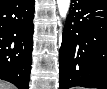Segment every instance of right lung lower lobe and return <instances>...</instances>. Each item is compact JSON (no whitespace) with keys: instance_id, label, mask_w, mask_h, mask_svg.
I'll return each mask as SVG.
<instances>
[{"instance_id":"right-lung-lower-lobe-1","label":"right lung lower lobe","mask_w":107,"mask_h":89,"mask_svg":"<svg viewBox=\"0 0 107 89\" xmlns=\"http://www.w3.org/2000/svg\"><path fill=\"white\" fill-rule=\"evenodd\" d=\"M34 0H0V79L28 89Z\"/></svg>"}]
</instances>
